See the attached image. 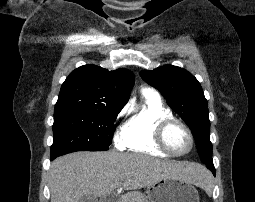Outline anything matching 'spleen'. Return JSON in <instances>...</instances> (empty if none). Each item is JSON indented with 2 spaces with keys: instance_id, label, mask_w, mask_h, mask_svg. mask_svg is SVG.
<instances>
[{
  "instance_id": "spleen-1",
  "label": "spleen",
  "mask_w": 255,
  "mask_h": 202,
  "mask_svg": "<svg viewBox=\"0 0 255 202\" xmlns=\"http://www.w3.org/2000/svg\"><path fill=\"white\" fill-rule=\"evenodd\" d=\"M201 186L205 189H210L211 188V177H210V175L207 171L202 173Z\"/></svg>"
}]
</instances>
